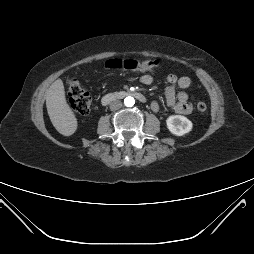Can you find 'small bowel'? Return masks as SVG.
<instances>
[{
  "label": "small bowel",
  "instance_id": "c3829d8e",
  "mask_svg": "<svg viewBox=\"0 0 254 254\" xmlns=\"http://www.w3.org/2000/svg\"><path fill=\"white\" fill-rule=\"evenodd\" d=\"M140 81L144 85L153 84V77L149 74H143ZM165 102L173 112L183 115H188L192 112V105L188 101L189 97L187 89L191 85L190 78L183 76L178 77L175 74H169L165 78ZM177 89H179L177 91ZM151 109L155 112L159 111L160 105L158 102L151 103Z\"/></svg>",
  "mask_w": 254,
  "mask_h": 254
}]
</instances>
